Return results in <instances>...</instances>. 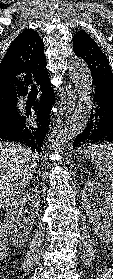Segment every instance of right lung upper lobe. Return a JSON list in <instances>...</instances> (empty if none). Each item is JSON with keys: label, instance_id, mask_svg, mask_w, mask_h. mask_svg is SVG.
I'll list each match as a JSON object with an SVG mask.
<instances>
[{"label": "right lung upper lobe", "instance_id": "cb5924a9", "mask_svg": "<svg viewBox=\"0 0 113 279\" xmlns=\"http://www.w3.org/2000/svg\"><path fill=\"white\" fill-rule=\"evenodd\" d=\"M47 74L44 43L36 31L26 29L13 40L0 63V109L15 105L33 80L38 82Z\"/></svg>", "mask_w": 113, "mask_h": 279}]
</instances>
